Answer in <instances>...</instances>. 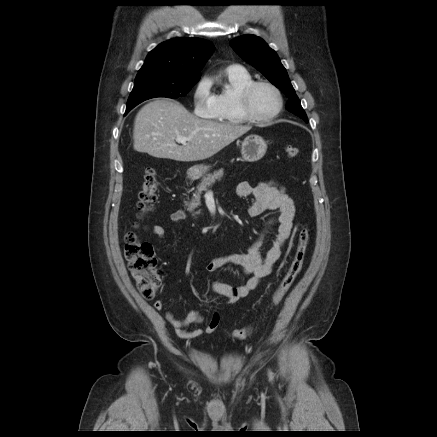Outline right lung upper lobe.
Masks as SVG:
<instances>
[{"label":"right lung upper lobe","instance_id":"obj_1","mask_svg":"<svg viewBox=\"0 0 437 437\" xmlns=\"http://www.w3.org/2000/svg\"><path fill=\"white\" fill-rule=\"evenodd\" d=\"M214 50L201 38H173L149 52L139 72L162 70L179 77H199L200 70Z\"/></svg>","mask_w":437,"mask_h":437}]
</instances>
